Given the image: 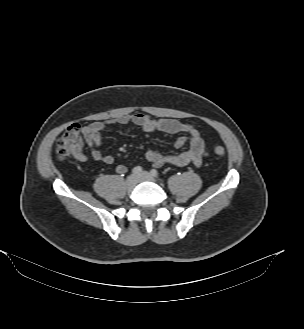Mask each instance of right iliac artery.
I'll return each mask as SVG.
<instances>
[{
    "label": "right iliac artery",
    "mask_w": 304,
    "mask_h": 329,
    "mask_svg": "<svg viewBox=\"0 0 304 329\" xmlns=\"http://www.w3.org/2000/svg\"><path fill=\"white\" fill-rule=\"evenodd\" d=\"M141 172H142V167L141 166H136L132 169V173L135 174V175L139 174Z\"/></svg>",
    "instance_id": "right-iliac-artery-1"
}]
</instances>
